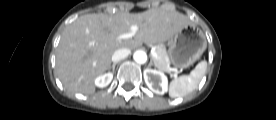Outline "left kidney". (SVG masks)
Instances as JSON below:
<instances>
[{"label":"left kidney","instance_id":"1","mask_svg":"<svg viewBox=\"0 0 276 120\" xmlns=\"http://www.w3.org/2000/svg\"><path fill=\"white\" fill-rule=\"evenodd\" d=\"M144 80L148 88L156 94H164L167 91L168 79L165 74L156 69H145Z\"/></svg>","mask_w":276,"mask_h":120}]
</instances>
